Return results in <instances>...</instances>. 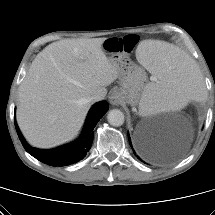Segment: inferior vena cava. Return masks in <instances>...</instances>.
<instances>
[{
	"mask_svg": "<svg viewBox=\"0 0 215 215\" xmlns=\"http://www.w3.org/2000/svg\"><path fill=\"white\" fill-rule=\"evenodd\" d=\"M104 98H105V94L103 92L95 93L94 95L91 96L90 101L97 102V101L103 100Z\"/></svg>",
	"mask_w": 215,
	"mask_h": 215,
	"instance_id": "602c4592",
	"label": "inferior vena cava"
}]
</instances>
